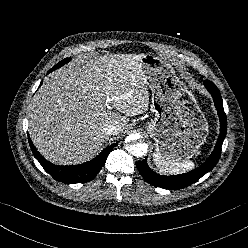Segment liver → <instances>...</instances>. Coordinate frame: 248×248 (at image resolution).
<instances>
[{
	"label": "liver",
	"mask_w": 248,
	"mask_h": 248,
	"mask_svg": "<svg viewBox=\"0 0 248 248\" xmlns=\"http://www.w3.org/2000/svg\"><path fill=\"white\" fill-rule=\"evenodd\" d=\"M143 56L104 55L46 77L29 113V134L38 151L55 164L85 162L109 140L103 125L114 124L122 133L129 117L147 111Z\"/></svg>",
	"instance_id": "liver-1"
}]
</instances>
